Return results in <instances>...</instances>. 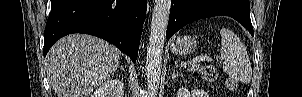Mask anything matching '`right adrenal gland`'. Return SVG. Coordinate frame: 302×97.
Instances as JSON below:
<instances>
[{
    "label": "right adrenal gland",
    "instance_id": "2a0ac1e0",
    "mask_svg": "<svg viewBox=\"0 0 302 97\" xmlns=\"http://www.w3.org/2000/svg\"><path fill=\"white\" fill-rule=\"evenodd\" d=\"M122 70H124L125 71V69H124V66L123 65H121V67H120Z\"/></svg>",
    "mask_w": 302,
    "mask_h": 97
}]
</instances>
